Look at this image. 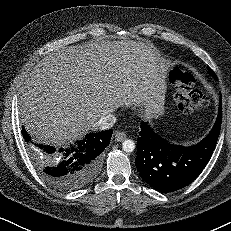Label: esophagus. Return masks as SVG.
<instances>
[{"mask_svg":"<svg viewBox=\"0 0 231 231\" xmlns=\"http://www.w3.org/2000/svg\"><path fill=\"white\" fill-rule=\"evenodd\" d=\"M126 139V134L122 131L116 132L115 134V140L117 142H122L123 140Z\"/></svg>","mask_w":231,"mask_h":231,"instance_id":"obj_1","label":"esophagus"}]
</instances>
